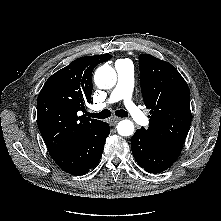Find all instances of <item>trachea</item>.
<instances>
[{"label": "trachea", "mask_w": 221, "mask_h": 221, "mask_svg": "<svg viewBox=\"0 0 221 221\" xmlns=\"http://www.w3.org/2000/svg\"><path fill=\"white\" fill-rule=\"evenodd\" d=\"M111 111L108 110V109H105V110H102L101 112L99 113H87V115L89 117H93V118H99V119H105V118H108L111 116ZM115 115L118 116V117H127L128 116V113L124 110H117L115 111Z\"/></svg>", "instance_id": "trachea-1"}]
</instances>
